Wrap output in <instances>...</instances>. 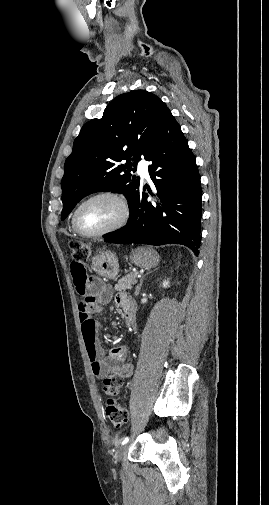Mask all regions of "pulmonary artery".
Wrapping results in <instances>:
<instances>
[{
	"label": "pulmonary artery",
	"instance_id": "pulmonary-artery-1",
	"mask_svg": "<svg viewBox=\"0 0 269 505\" xmlns=\"http://www.w3.org/2000/svg\"><path fill=\"white\" fill-rule=\"evenodd\" d=\"M138 173L145 179L149 178L148 164L145 161H140L137 166Z\"/></svg>",
	"mask_w": 269,
	"mask_h": 505
}]
</instances>
